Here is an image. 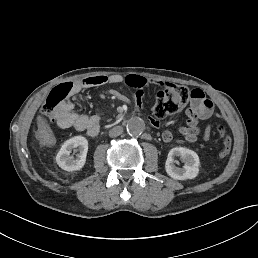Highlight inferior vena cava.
<instances>
[{"label": "inferior vena cava", "instance_id": "obj_1", "mask_svg": "<svg viewBox=\"0 0 258 258\" xmlns=\"http://www.w3.org/2000/svg\"><path fill=\"white\" fill-rule=\"evenodd\" d=\"M123 133V127L122 126H115L109 131L110 137H116Z\"/></svg>", "mask_w": 258, "mask_h": 258}]
</instances>
